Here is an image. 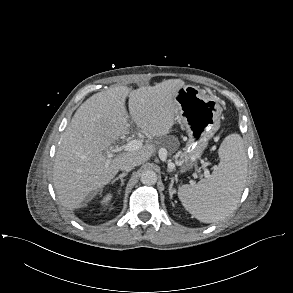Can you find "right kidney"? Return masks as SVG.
<instances>
[{"label":"right kidney","instance_id":"obj_1","mask_svg":"<svg viewBox=\"0 0 293 293\" xmlns=\"http://www.w3.org/2000/svg\"><path fill=\"white\" fill-rule=\"evenodd\" d=\"M111 199H112V194H107L106 196L103 197L101 204L107 205Z\"/></svg>","mask_w":293,"mask_h":293}]
</instances>
